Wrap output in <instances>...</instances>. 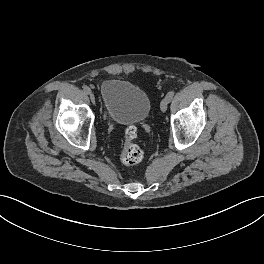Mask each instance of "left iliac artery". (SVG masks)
I'll return each instance as SVG.
<instances>
[{
  "label": "left iliac artery",
  "instance_id": "1",
  "mask_svg": "<svg viewBox=\"0 0 264 264\" xmlns=\"http://www.w3.org/2000/svg\"><path fill=\"white\" fill-rule=\"evenodd\" d=\"M173 96H174V92H173V91H170V92L167 93V95H166L165 98H166L168 101H171L172 98H173Z\"/></svg>",
  "mask_w": 264,
  "mask_h": 264
}]
</instances>
